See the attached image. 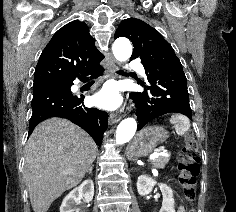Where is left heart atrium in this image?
I'll return each mask as SVG.
<instances>
[{"label": "left heart atrium", "mask_w": 236, "mask_h": 212, "mask_svg": "<svg viewBox=\"0 0 236 212\" xmlns=\"http://www.w3.org/2000/svg\"><path fill=\"white\" fill-rule=\"evenodd\" d=\"M93 102L104 109H115L121 104V97L114 85L107 84L93 97Z\"/></svg>", "instance_id": "39dd6f15"}]
</instances>
